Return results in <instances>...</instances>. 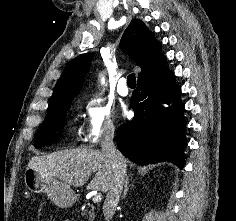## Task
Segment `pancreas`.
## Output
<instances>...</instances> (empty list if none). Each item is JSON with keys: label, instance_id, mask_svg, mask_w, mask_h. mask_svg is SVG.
Returning <instances> with one entry per match:
<instances>
[{"label": "pancreas", "instance_id": "1", "mask_svg": "<svg viewBox=\"0 0 236 221\" xmlns=\"http://www.w3.org/2000/svg\"><path fill=\"white\" fill-rule=\"evenodd\" d=\"M80 213L82 216H85V217L87 216L89 221H94L96 218L95 207L93 205H90V211H88V215H87V210H82Z\"/></svg>", "mask_w": 236, "mask_h": 221}]
</instances>
